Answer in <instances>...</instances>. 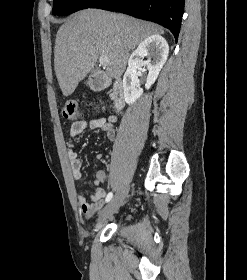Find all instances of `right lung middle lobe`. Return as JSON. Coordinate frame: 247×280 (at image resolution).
Returning a JSON list of instances; mask_svg holds the SVG:
<instances>
[{
  "instance_id": "1",
  "label": "right lung middle lobe",
  "mask_w": 247,
  "mask_h": 280,
  "mask_svg": "<svg viewBox=\"0 0 247 280\" xmlns=\"http://www.w3.org/2000/svg\"><path fill=\"white\" fill-rule=\"evenodd\" d=\"M98 0H54L53 14L63 16L89 8Z\"/></svg>"
}]
</instances>
